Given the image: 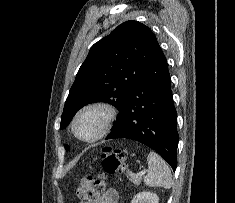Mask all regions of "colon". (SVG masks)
I'll list each match as a JSON object with an SVG mask.
<instances>
[{"mask_svg":"<svg viewBox=\"0 0 235 203\" xmlns=\"http://www.w3.org/2000/svg\"><path fill=\"white\" fill-rule=\"evenodd\" d=\"M103 173L80 179L76 195L82 200H94L105 192V174L121 173L126 168V156L122 150L106 147L102 153Z\"/></svg>","mask_w":235,"mask_h":203,"instance_id":"5ec220e1","label":"colon"}]
</instances>
